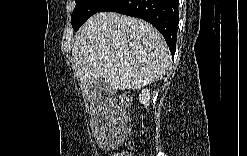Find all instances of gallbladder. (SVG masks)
<instances>
[{"mask_svg":"<svg viewBox=\"0 0 247 156\" xmlns=\"http://www.w3.org/2000/svg\"><path fill=\"white\" fill-rule=\"evenodd\" d=\"M88 90L90 93L104 91L107 95L114 91V89L109 85V83L101 78L94 80L89 86Z\"/></svg>","mask_w":247,"mask_h":156,"instance_id":"gallbladder-1","label":"gallbladder"}]
</instances>
